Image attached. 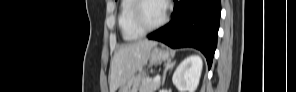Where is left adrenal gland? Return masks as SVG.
I'll use <instances>...</instances> for the list:
<instances>
[{
	"instance_id": "obj_1",
	"label": "left adrenal gland",
	"mask_w": 296,
	"mask_h": 92,
	"mask_svg": "<svg viewBox=\"0 0 296 92\" xmlns=\"http://www.w3.org/2000/svg\"><path fill=\"white\" fill-rule=\"evenodd\" d=\"M176 61H168L166 64H165V69H164V72H163V78H162V86L165 84V79H166V74H167V71L169 69H173L174 65H175Z\"/></svg>"
}]
</instances>
